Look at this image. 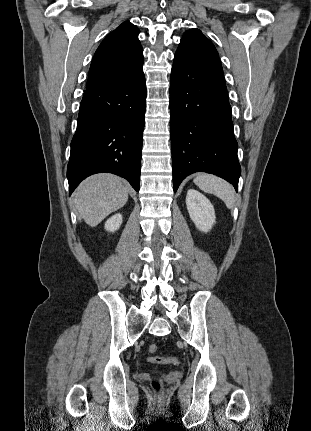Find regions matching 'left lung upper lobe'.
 Here are the masks:
<instances>
[{"label":"left lung upper lobe","mask_w":311,"mask_h":431,"mask_svg":"<svg viewBox=\"0 0 311 431\" xmlns=\"http://www.w3.org/2000/svg\"><path fill=\"white\" fill-rule=\"evenodd\" d=\"M177 51L221 64L214 45L198 29H191L184 33Z\"/></svg>","instance_id":"obj_1"}]
</instances>
